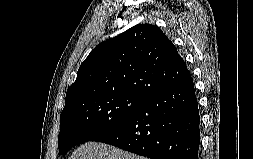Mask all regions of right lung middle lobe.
Segmentation results:
<instances>
[{"instance_id":"right-lung-middle-lobe-1","label":"right lung middle lobe","mask_w":253,"mask_h":159,"mask_svg":"<svg viewBox=\"0 0 253 159\" xmlns=\"http://www.w3.org/2000/svg\"><path fill=\"white\" fill-rule=\"evenodd\" d=\"M147 98L136 93H95L65 104L60 115L59 153L93 140L135 112Z\"/></svg>"}]
</instances>
